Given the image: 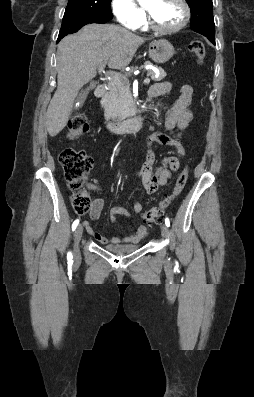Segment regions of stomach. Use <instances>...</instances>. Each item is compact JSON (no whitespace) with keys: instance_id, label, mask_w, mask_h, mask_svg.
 I'll use <instances>...</instances> for the list:
<instances>
[{"instance_id":"obj_1","label":"stomach","mask_w":254,"mask_h":397,"mask_svg":"<svg viewBox=\"0 0 254 397\" xmlns=\"http://www.w3.org/2000/svg\"><path fill=\"white\" fill-rule=\"evenodd\" d=\"M173 55L174 47L166 39L155 40L149 44V56L156 63L163 64Z\"/></svg>"}]
</instances>
